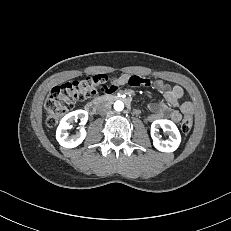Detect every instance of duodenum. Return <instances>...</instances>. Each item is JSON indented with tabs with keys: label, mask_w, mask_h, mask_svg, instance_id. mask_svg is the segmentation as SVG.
Segmentation results:
<instances>
[{
	"label": "duodenum",
	"mask_w": 231,
	"mask_h": 231,
	"mask_svg": "<svg viewBox=\"0 0 231 231\" xmlns=\"http://www.w3.org/2000/svg\"><path fill=\"white\" fill-rule=\"evenodd\" d=\"M117 100H122L124 101L126 104H130L131 103V98L125 95H119V94H104L92 101H90L89 103L86 104L85 106V110L90 114L93 115L96 113L98 107L104 103V102H108V101H117Z\"/></svg>",
	"instance_id": "duodenum-1"
}]
</instances>
